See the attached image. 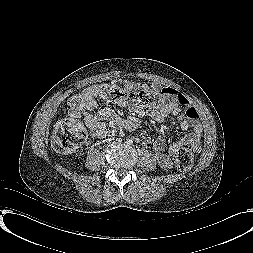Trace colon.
<instances>
[{
	"mask_svg": "<svg viewBox=\"0 0 253 253\" xmlns=\"http://www.w3.org/2000/svg\"><path fill=\"white\" fill-rule=\"evenodd\" d=\"M98 92L102 99L139 108L148 107L164 98L162 91L140 83L125 81L104 83L99 87ZM84 141L85 132L82 125L77 120L67 119L56 126L52 144L58 152L68 154L77 150ZM176 163L182 170L189 169L193 164L191 151L186 148L180 149L176 154Z\"/></svg>",
	"mask_w": 253,
	"mask_h": 253,
	"instance_id": "1",
	"label": "colon"
}]
</instances>
